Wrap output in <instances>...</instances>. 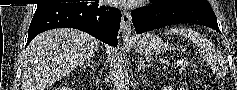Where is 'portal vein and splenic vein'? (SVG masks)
I'll list each match as a JSON object with an SVG mask.
<instances>
[{"instance_id":"portal-vein-and-splenic-vein-1","label":"portal vein and splenic vein","mask_w":237,"mask_h":90,"mask_svg":"<svg viewBox=\"0 0 237 90\" xmlns=\"http://www.w3.org/2000/svg\"><path fill=\"white\" fill-rule=\"evenodd\" d=\"M180 66H182L181 70H184L185 66H187V62H180Z\"/></svg>"}]
</instances>
